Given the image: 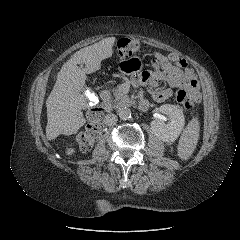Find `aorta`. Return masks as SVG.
Wrapping results in <instances>:
<instances>
[{"label": "aorta", "mask_w": 240, "mask_h": 240, "mask_svg": "<svg viewBox=\"0 0 240 240\" xmlns=\"http://www.w3.org/2000/svg\"><path fill=\"white\" fill-rule=\"evenodd\" d=\"M118 115L121 119L127 120L131 118V110L127 107H122L118 110Z\"/></svg>", "instance_id": "aorta-1"}]
</instances>
